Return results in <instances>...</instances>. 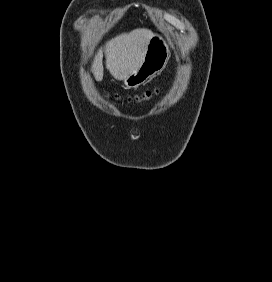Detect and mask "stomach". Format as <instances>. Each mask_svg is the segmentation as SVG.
<instances>
[{
  "mask_svg": "<svg viewBox=\"0 0 272 282\" xmlns=\"http://www.w3.org/2000/svg\"><path fill=\"white\" fill-rule=\"evenodd\" d=\"M170 57V45L160 35L153 34L140 68L124 79L128 89H135L159 74Z\"/></svg>",
  "mask_w": 272,
  "mask_h": 282,
  "instance_id": "obj_1",
  "label": "stomach"
}]
</instances>
